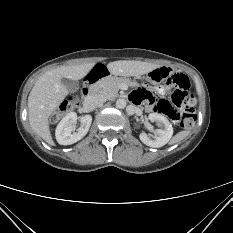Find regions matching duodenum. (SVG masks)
<instances>
[{
	"mask_svg": "<svg viewBox=\"0 0 233 233\" xmlns=\"http://www.w3.org/2000/svg\"><path fill=\"white\" fill-rule=\"evenodd\" d=\"M106 75L107 68L104 66V63H99V65L94 68V71L91 72L88 77L84 78L83 82L81 83V86L83 87L81 93L84 96L96 93L99 89L97 87V80L104 78Z\"/></svg>",
	"mask_w": 233,
	"mask_h": 233,
	"instance_id": "410a0bca",
	"label": "duodenum"
}]
</instances>
